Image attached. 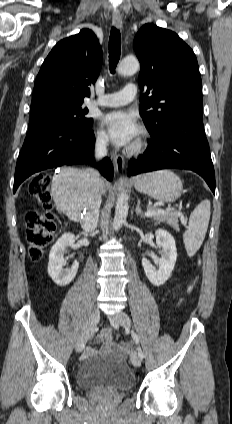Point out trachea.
I'll list each match as a JSON object with an SVG mask.
<instances>
[{
	"mask_svg": "<svg viewBox=\"0 0 232 424\" xmlns=\"http://www.w3.org/2000/svg\"><path fill=\"white\" fill-rule=\"evenodd\" d=\"M121 53V35L120 31L112 27L109 38V66L110 72L115 73V68L119 62Z\"/></svg>",
	"mask_w": 232,
	"mask_h": 424,
	"instance_id": "obj_1",
	"label": "trachea"
}]
</instances>
